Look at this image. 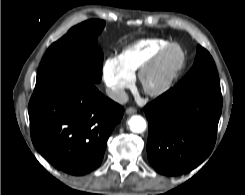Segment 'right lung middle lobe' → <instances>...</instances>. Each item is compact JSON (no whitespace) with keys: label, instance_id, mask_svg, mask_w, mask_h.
Masks as SVG:
<instances>
[{"label":"right lung middle lobe","instance_id":"1","mask_svg":"<svg viewBox=\"0 0 245 195\" xmlns=\"http://www.w3.org/2000/svg\"><path fill=\"white\" fill-rule=\"evenodd\" d=\"M104 26L102 20L82 22L53 43L39 65L34 94L71 81L100 82L103 54L97 47V36Z\"/></svg>","mask_w":245,"mask_h":195}]
</instances>
